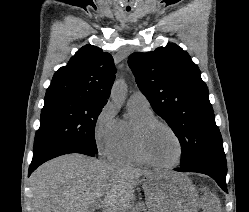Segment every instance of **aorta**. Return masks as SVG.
I'll list each match as a JSON object with an SVG mask.
<instances>
[{"label": "aorta", "mask_w": 249, "mask_h": 212, "mask_svg": "<svg viewBox=\"0 0 249 212\" xmlns=\"http://www.w3.org/2000/svg\"><path fill=\"white\" fill-rule=\"evenodd\" d=\"M127 85L123 79H117L111 90L112 101L121 104L125 100Z\"/></svg>", "instance_id": "762f6f07"}]
</instances>
